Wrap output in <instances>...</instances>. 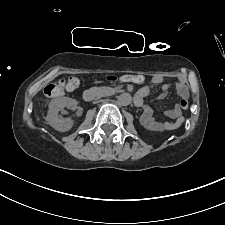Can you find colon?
<instances>
[{
    "label": "colon",
    "mask_w": 225,
    "mask_h": 225,
    "mask_svg": "<svg viewBox=\"0 0 225 225\" xmlns=\"http://www.w3.org/2000/svg\"><path fill=\"white\" fill-rule=\"evenodd\" d=\"M110 81L119 80L121 82H131L141 84L145 82V77L143 75L125 74L120 77L109 76ZM80 86V80L77 77H69L68 79H60L54 83L47 85L44 89V93L48 97H56L67 91H74ZM178 107L182 110L189 108V103L186 99H181L178 102Z\"/></svg>",
    "instance_id": "obj_1"
}]
</instances>
